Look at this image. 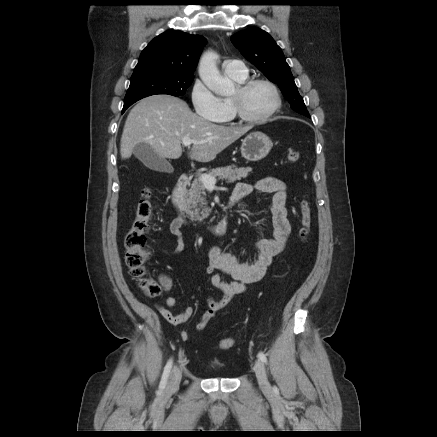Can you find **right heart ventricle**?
Returning <instances> with one entry per match:
<instances>
[{
    "instance_id": "e07e8e85",
    "label": "right heart ventricle",
    "mask_w": 437,
    "mask_h": 437,
    "mask_svg": "<svg viewBox=\"0 0 437 437\" xmlns=\"http://www.w3.org/2000/svg\"><path fill=\"white\" fill-rule=\"evenodd\" d=\"M232 79H234L238 83H241L247 79V75L244 77H232ZM222 101L225 106V114L219 122L229 123L234 119L230 98H224L222 99Z\"/></svg>"
}]
</instances>
